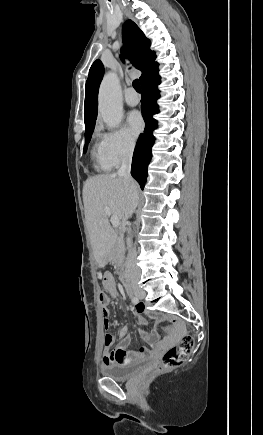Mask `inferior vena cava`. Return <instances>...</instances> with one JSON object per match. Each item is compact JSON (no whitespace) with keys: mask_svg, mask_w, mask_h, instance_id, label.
Here are the masks:
<instances>
[{"mask_svg":"<svg viewBox=\"0 0 263 435\" xmlns=\"http://www.w3.org/2000/svg\"><path fill=\"white\" fill-rule=\"evenodd\" d=\"M134 151V146H131L122 158L121 167L117 171V175L123 177L126 184V193H127V201H126V216L127 218L132 215L134 210L138 204V191L137 186L134 183V180L131 177V163H132V155ZM136 251L135 248L130 249L129 254L127 256L125 262V271L128 275L139 274V269L136 266L135 262Z\"/></svg>","mask_w":263,"mask_h":435,"instance_id":"602c4592","label":"inferior vena cava"}]
</instances>
